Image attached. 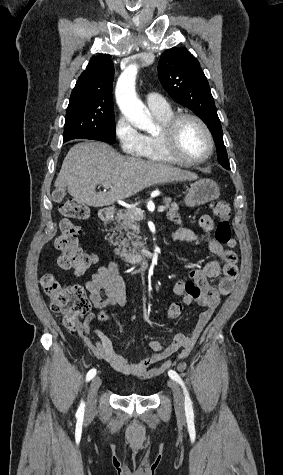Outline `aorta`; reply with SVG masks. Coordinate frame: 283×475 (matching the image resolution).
Segmentation results:
<instances>
[{
  "label": "aorta",
  "instance_id": "762f6f07",
  "mask_svg": "<svg viewBox=\"0 0 283 475\" xmlns=\"http://www.w3.org/2000/svg\"><path fill=\"white\" fill-rule=\"evenodd\" d=\"M137 65H130L118 78L115 96L123 115L136 127L147 132L156 129L149 110L137 97L135 84Z\"/></svg>",
  "mask_w": 283,
  "mask_h": 475
}]
</instances>
